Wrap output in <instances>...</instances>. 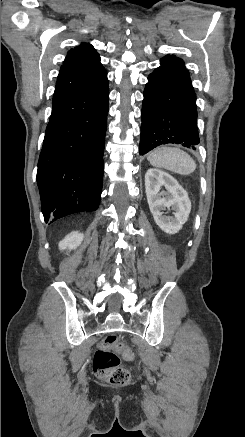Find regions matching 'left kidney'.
<instances>
[{"label": "left kidney", "instance_id": "5707ae66", "mask_svg": "<svg viewBox=\"0 0 245 437\" xmlns=\"http://www.w3.org/2000/svg\"><path fill=\"white\" fill-rule=\"evenodd\" d=\"M162 187L166 192L161 191ZM145 190L156 224L168 234L179 232L191 211V200L184 188L167 172L150 168L145 174ZM166 208L173 210V216L164 215Z\"/></svg>", "mask_w": 245, "mask_h": 437}]
</instances>
